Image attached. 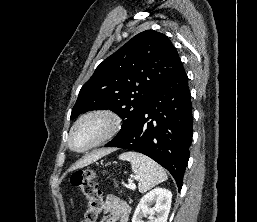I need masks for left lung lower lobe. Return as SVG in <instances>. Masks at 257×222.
<instances>
[{
    "label": "left lung lower lobe",
    "mask_w": 257,
    "mask_h": 222,
    "mask_svg": "<svg viewBox=\"0 0 257 222\" xmlns=\"http://www.w3.org/2000/svg\"><path fill=\"white\" fill-rule=\"evenodd\" d=\"M192 125L188 78L181 63L149 98L137 119L105 147L147 155L172 174L180 191L189 159Z\"/></svg>",
    "instance_id": "0a47b994"
}]
</instances>
